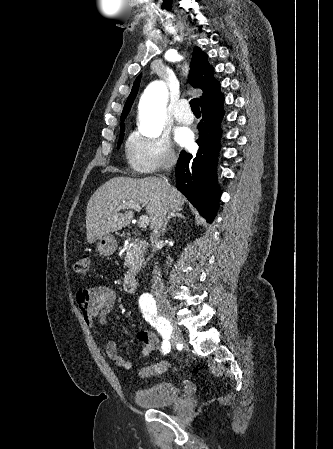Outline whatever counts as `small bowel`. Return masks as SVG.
<instances>
[{
	"instance_id": "1",
	"label": "small bowel",
	"mask_w": 333,
	"mask_h": 449,
	"mask_svg": "<svg viewBox=\"0 0 333 449\" xmlns=\"http://www.w3.org/2000/svg\"><path fill=\"white\" fill-rule=\"evenodd\" d=\"M117 300L115 291L107 286H96L80 290L76 294L77 306L83 316L85 323L94 327L96 322L105 324L107 316L112 312ZM141 343L140 357L150 355L158 348L160 340L158 336L148 330H140L136 335ZM108 358L118 367L132 369L135 362L125 359L118 351L114 341H107L104 346Z\"/></svg>"
}]
</instances>
